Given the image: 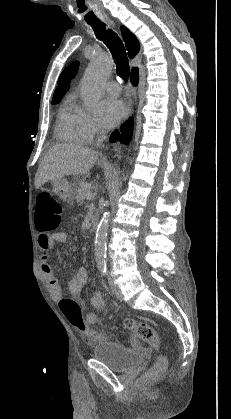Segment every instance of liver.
<instances>
[{"label":"liver","mask_w":231,"mask_h":419,"mask_svg":"<svg viewBox=\"0 0 231 419\" xmlns=\"http://www.w3.org/2000/svg\"><path fill=\"white\" fill-rule=\"evenodd\" d=\"M98 155L99 153L92 148L78 144H56L47 152L38 167L35 188L39 189L46 182L56 178L88 174L97 163ZM97 165L110 168L105 158L98 161Z\"/></svg>","instance_id":"obj_1"}]
</instances>
